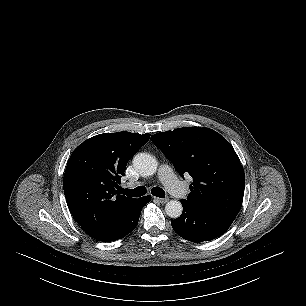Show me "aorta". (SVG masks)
I'll return each instance as SVG.
<instances>
[{"label": "aorta", "mask_w": 306, "mask_h": 306, "mask_svg": "<svg viewBox=\"0 0 306 306\" xmlns=\"http://www.w3.org/2000/svg\"><path fill=\"white\" fill-rule=\"evenodd\" d=\"M133 166L142 176L153 175L158 167L157 160L150 154L139 153L133 158ZM183 211L182 204L176 200H170L165 205V212L171 218H178Z\"/></svg>", "instance_id": "obj_1"}]
</instances>
